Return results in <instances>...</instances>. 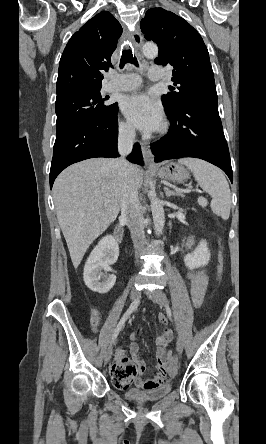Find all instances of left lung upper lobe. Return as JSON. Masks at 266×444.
<instances>
[{
    "instance_id": "obj_1",
    "label": "left lung upper lobe",
    "mask_w": 266,
    "mask_h": 444,
    "mask_svg": "<svg viewBox=\"0 0 266 444\" xmlns=\"http://www.w3.org/2000/svg\"><path fill=\"white\" fill-rule=\"evenodd\" d=\"M147 40L159 47L157 64L173 66L168 94L161 97L167 114L196 100L217 99L214 74L208 50L199 33L183 18L163 8H153L141 20Z\"/></svg>"
}]
</instances>
